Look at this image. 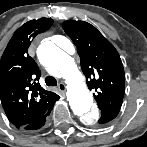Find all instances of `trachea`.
<instances>
[{"label": "trachea", "mask_w": 147, "mask_h": 147, "mask_svg": "<svg viewBox=\"0 0 147 147\" xmlns=\"http://www.w3.org/2000/svg\"><path fill=\"white\" fill-rule=\"evenodd\" d=\"M45 83H46L47 86H56L57 80L52 76H47L45 78Z\"/></svg>", "instance_id": "3493384b"}]
</instances>
